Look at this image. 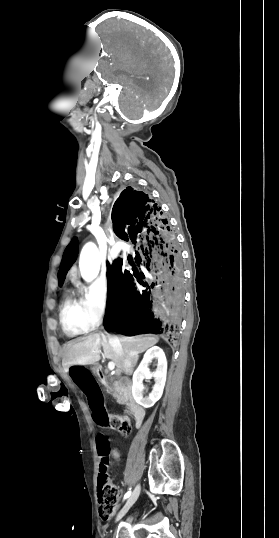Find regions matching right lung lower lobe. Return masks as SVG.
I'll return each mask as SVG.
<instances>
[{
	"label": "right lung lower lobe",
	"instance_id": "obj_1",
	"mask_svg": "<svg viewBox=\"0 0 279 538\" xmlns=\"http://www.w3.org/2000/svg\"><path fill=\"white\" fill-rule=\"evenodd\" d=\"M112 221L115 234L131 241L137 255L133 273L120 260L108 267L104 326L122 334L175 333L184 313V276L178 243L161 207L127 187L114 204Z\"/></svg>",
	"mask_w": 279,
	"mask_h": 538
}]
</instances>
